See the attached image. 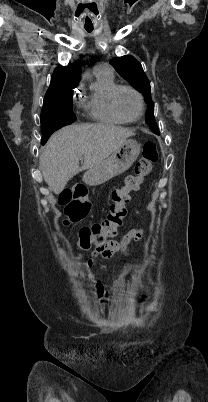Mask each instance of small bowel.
I'll use <instances>...</instances> for the list:
<instances>
[{"label":"small bowel","mask_w":208,"mask_h":402,"mask_svg":"<svg viewBox=\"0 0 208 402\" xmlns=\"http://www.w3.org/2000/svg\"><path fill=\"white\" fill-rule=\"evenodd\" d=\"M142 238V231L139 229H132L129 231L127 234L124 235L121 241L119 242H109L106 245H104L103 242L99 243L100 247H95L94 248V253L95 254H100L102 259H112L113 258V253H116L117 251H121L124 255L128 254V249L127 245L132 241H140ZM110 240V239H109ZM94 256V255H93ZM86 264L87 265H92L93 264V259L92 258H87L86 259ZM94 286H95V295L99 299H105L109 296L110 290L106 286L105 283H103L100 280H94Z\"/></svg>","instance_id":"obj_1"}]
</instances>
